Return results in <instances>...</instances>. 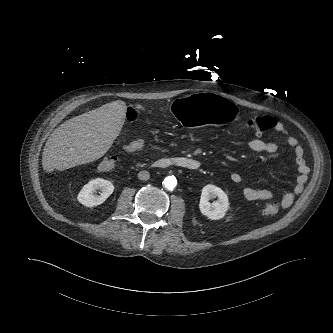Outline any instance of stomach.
<instances>
[{
    "mask_svg": "<svg viewBox=\"0 0 333 333\" xmlns=\"http://www.w3.org/2000/svg\"><path fill=\"white\" fill-rule=\"evenodd\" d=\"M171 111L184 125L198 122L203 125H226L236 117L237 107L229 97L205 92L175 99Z\"/></svg>",
    "mask_w": 333,
    "mask_h": 333,
    "instance_id": "stomach-1",
    "label": "stomach"
}]
</instances>
